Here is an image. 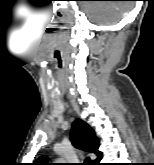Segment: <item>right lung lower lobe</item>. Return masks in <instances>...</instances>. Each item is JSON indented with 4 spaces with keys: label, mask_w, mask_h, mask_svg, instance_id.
<instances>
[{
    "label": "right lung lower lobe",
    "mask_w": 154,
    "mask_h": 165,
    "mask_svg": "<svg viewBox=\"0 0 154 165\" xmlns=\"http://www.w3.org/2000/svg\"><path fill=\"white\" fill-rule=\"evenodd\" d=\"M101 159H102V153L99 151V153L97 154V159L95 161H93L92 165H102L100 163Z\"/></svg>",
    "instance_id": "98d812e1"
}]
</instances>
